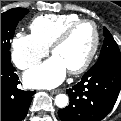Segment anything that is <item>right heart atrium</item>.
Segmentation results:
<instances>
[{
    "label": "right heart atrium",
    "mask_w": 121,
    "mask_h": 121,
    "mask_svg": "<svg viewBox=\"0 0 121 121\" xmlns=\"http://www.w3.org/2000/svg\"><path fill=\"white\" fill-rule=\"evenodd\" d=\"M49 48L39 42L32 34H15L11 41V58L21 70H28L47 56Z\"/></svg>",
    "instance_id": "obj_1"
}]
</instances>
